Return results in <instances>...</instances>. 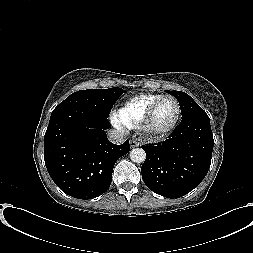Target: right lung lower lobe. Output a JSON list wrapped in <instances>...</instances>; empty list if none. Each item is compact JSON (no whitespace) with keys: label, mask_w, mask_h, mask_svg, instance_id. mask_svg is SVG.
I'll return each instance as SVG.
<instances>
[{"label":"right lung lower lobe","mask_w":253,"mask_h":253,"mask_svg":"<svg viewBox=\"0 0 253 253\" xmlns=\"http://www.w3.org/2000/svg\"><path fill=\"white\" fill-rule=\"evenodd\" d=\"M106 117L84 107L68 106L52 111L44 139L48 173L66 194L79 199L102 195L112 181L118 158L128 153L127 140L111 143Z\"/></svg>","instance_id":"98d812e1"}]
</instances>
